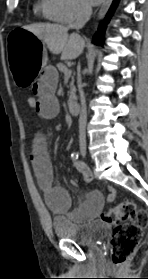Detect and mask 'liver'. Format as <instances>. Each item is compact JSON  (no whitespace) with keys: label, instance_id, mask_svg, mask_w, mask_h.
<instances>
[{"label":"liver","instance_id":"1","mask_svg":"<svg viewBox=\"0 0 148 279\" xmlns=\"http://www.w3.org/2000/svg\"><path fill=\"white\" fill-rule=\"evenodd\" d=\"M24 29L32 32L48 47L51 53H61V60L77 58L85 47V42L78 34L68 35V28L58 24H33Z\"/></svg>","mask_w":148,"mask_h":279}]
</instances>
